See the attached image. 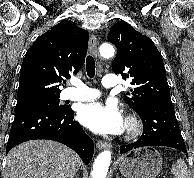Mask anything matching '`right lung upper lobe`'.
I'll return each mask as SVG.
<instances>
[{
    "label": "right lung upper lobe",
    "mask_w": 194,
    "mask_h": 178,
    "mask_svg": "<svg viewBox=\"0 0 194 178\" xmlns=\"http://www.w3.org/2000/svg\"><path fill=\"white\" fill-rule=\"evenodd\" d=\"M89 34L62 21L28 49L20 70L17 103L59 96L58 85L83 66Z\"/></svg>",
    "instance_id": "right-lung-upper-lobe-1"
}]
</instances>
